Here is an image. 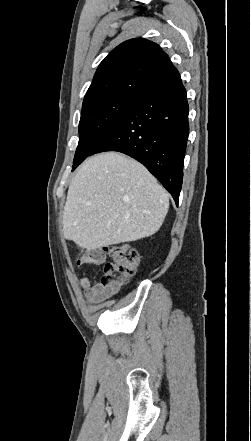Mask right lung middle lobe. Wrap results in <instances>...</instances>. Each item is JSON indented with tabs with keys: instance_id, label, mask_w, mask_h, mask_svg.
<instances>
[{
	"instance_id": "obj_1",
	"label": "right lung middle lobe",
	"mask_w": 251,
	"mask_h": 441,
	"mask_svg": "<svg viewBox=\"0 0 251 441\" xmlns=\"http://www.w3.org/2000/svg\"><path fill=\"white\" fill-rule=\"evenodd\" d=\"M141 96L112 97L82 107L79 143L72 171L89 156L94 147L139 101Z\"/></svg>"
}]
</instances>
